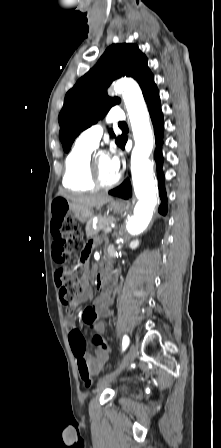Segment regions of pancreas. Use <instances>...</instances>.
<instances>
[{
	"instance_id": "cf45deb5",
	"label": "pancreas",
	"mask_w": 221,
	"mask_h": 448,
	"mask_svg": "<svg viewBox=\"0 0 221 448\" xmlns=\"http://www.w3.org/2000/svg\"><path fill=\"white\" fill-rule=\"evenodd\" d=\"M115 222V218L112 216L104 215L98 216V222H97V230H94L92 227V223L89 222L86 227V235L92 236L96 235L100 230H104L105 227L109 226L110 224Z\"/></svg>"
}]
</instances>
